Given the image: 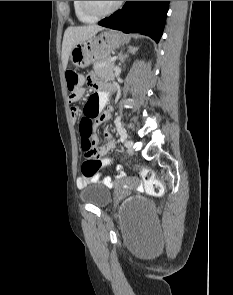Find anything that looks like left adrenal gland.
Returning a JSON list of instances; mask_svg holds the SVG:
<instances>
[{
    "label": "left adrenal gland",
    "instance_id": "left-adrenal-gland-1",
    "mask_svg": "<svg viewBox=\"0 0 233 295\" xmlns=\"http://www.w3.org/2000/svg\"><path fill=\"white\" fill-rule=\"evenodd\" d=\"M137 50H138L137 47H129L128 52L131 53V54H134ZM128 56H129L128 54L123 55L122 53H120V55H119V60H120V62L123 63L124 60H125ZM120 64H121V63H120Z\"/></svg>",
    "mask_w": 233,
    "mask_h": 295
}]
</instances>
